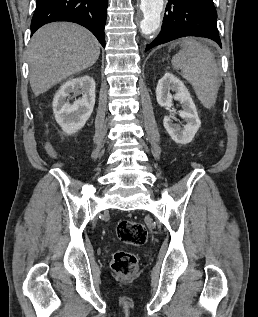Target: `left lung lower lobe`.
Masks as SVG:
<instances>
[{
  "instance_id": "0a47b994",
  "label": "left lung lower lobe",
  "mask_w": 258,
  "mask_h": 317,
  "mask_svg": "<svg viewBox=\"0 0 258 317\" xmlns=\"http://www.w3.org/2000/svg\"><path fill=\"white\" fill-rule=\"evenodd\" d=\"M158 37L146 50L185 36L206 37L221 47L213 0H168Z\"/></svg>"
}]
</instances>
